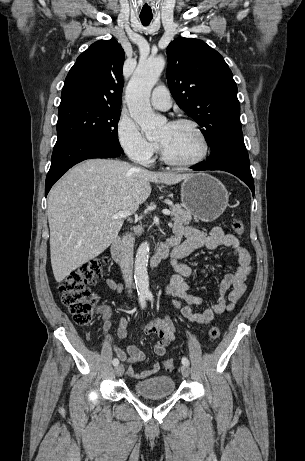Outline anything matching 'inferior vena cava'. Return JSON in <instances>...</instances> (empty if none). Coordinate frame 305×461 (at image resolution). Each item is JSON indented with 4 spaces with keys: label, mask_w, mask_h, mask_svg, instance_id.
<instances>
[{
    "label": "inferior vena cava",
    "mask_w": 305,
    "mask_h": 461,
    "mask_svg": "<svg viewBox=\"0 0 305 461\" xmlns=\"http://www.w3.org/2000/svg\"><path fill=\"white\" fill-rule=\"evenodd\" d=\"M134 243L135 237L131 233H126L122 238L120 250V268L129 294L132 292Z\"/></svg>",
    "instance_id": "obj_1"
}]
</instances>
